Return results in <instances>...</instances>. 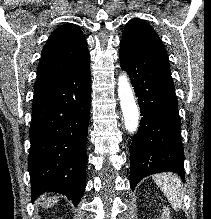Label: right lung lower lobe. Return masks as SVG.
Returning <instances> with one entry per match:
<instances>
[{"mask_svg":"<svg viewBox=\"0 0 211 219\" xmlns=\"http://www.w3.org/2000/svg\"><path fill=\"white\" fill-rule=\"evenodd\" d=\"M90 98L89 62L34 92L28 157L32 201L53 191L79 203L85 189Z\"/></svg>","mask_w":211,"mask_h":219,"instance_id":"98d812e1","label":"right lung lower lobe"}]
</instances>
